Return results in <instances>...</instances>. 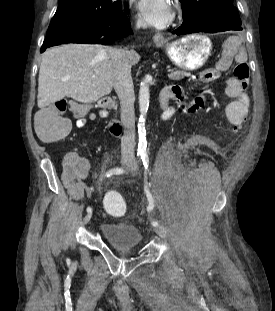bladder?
<instances>
[{"mask_svg":"<svg viewBox=\"0 0 275 311\" xmlns=\"http://www.w3.org/2000/svg\"><path fill=\"white\" fill-rule=\"evenodd\" d=\"M100 233L109 245L117 249H133L142 241L140 229L128 220L103 222Z\"/></svg>","mask_w":275,"mask_h":311,"instance_id":"bladder-1","label":"bladder"}]
</instances>
